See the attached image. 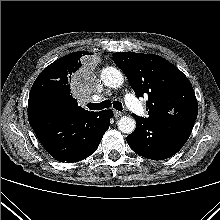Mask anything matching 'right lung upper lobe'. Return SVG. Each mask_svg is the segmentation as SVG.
I'll use <instances>...</instances> for the list:
<instances>
[{"instance_id": "right-lung-upper-lobe-1", "label": "right lung upper lobe", "mask_w": 220, "mask_h": 220, "mask_svg": "<svg viewBox=\"0 0 220 220\" xmlns=\"http://www.w3.org/2000/svg\"><path fill=\"white\" fill-rule=\"evenodd\" d=\"M85 55L89 53L74 52L47 66L31 88L28 110L35 107H51L72 114L89 112L78 106L77 100L70 93L71 78L81 69L82 57Z\"/></svg>"}]
</instances>
